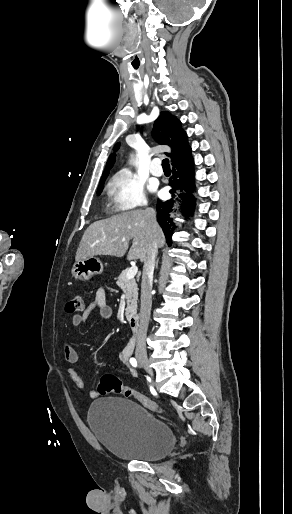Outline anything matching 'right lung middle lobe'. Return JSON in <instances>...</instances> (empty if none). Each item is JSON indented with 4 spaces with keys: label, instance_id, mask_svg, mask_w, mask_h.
I'll return each instance as SVG.
<instances>
[{
    "label": "right lung middle lobe",
    "instance_id": "obj_1",
    "mask_svg": "<svg viewBox=\"0 0 292 514\" xmlns=\"http://www.w3.org/2000/svg\"><path fill=\"white\" fill-rule=\"evenodd\" d=\"M104 182H105V180L100 181V183H99V187H98V190H97V194H98V195H100V193H101V192H102V190H103Z\"/></svg>",
    "mask_w": 292,
    "mask_h": 514
}]
</instances>
